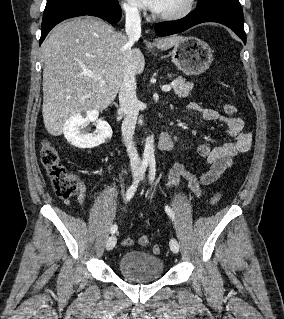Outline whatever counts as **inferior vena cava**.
Segmentation results:
<instances>
[{
    "label": "inferior vena cava",
    "mask_w": 284,
    "mask_h": 319,
    "mask_svg": "<svg viewBox=\"0 0 284 319\" xmlns=\"http://www.w3.org/2000/svg\"><path fill=\"white\" fill-rule=\"evenodd\" d=\"M125 32L129 43L132 45L141 36V18L138 9L129 8L126 10ZM119 112L124 114L122 123V135L127 144V153L130 159L132 170H138L141 160L134 146L133 136L139 114V101L136 96L135 74L128 71L124 76L119 92Z\"/></svg>",
    "instance_id": "inferior-vena-cava-1"
}]
</instances>
